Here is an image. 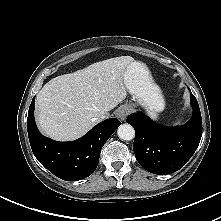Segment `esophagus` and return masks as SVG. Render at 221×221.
<instances>
[{
    "label": "esophagus",
    "instance_id": "esophagus-1",
    "mask_svg": "<svg viewBox=\"0 0 221 221\" xmlns=\"http://www.w3.org/2000/svg\"><path fill=\"white\" fill-rule=\"evenodd\" d=\"M131 107L130 106H127V105H124V106H121L117 112H116V116L124 121L126 119V117L131 113Z\"/></svg>",
    "mask_w": 221,
    "mask_h": 221
}]
</instances>
